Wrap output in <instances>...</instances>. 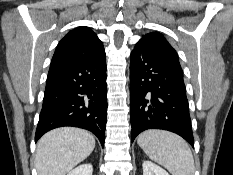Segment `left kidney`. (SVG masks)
<instances>
[{
  "instance_id": "1",
  "label": "left kidney",
  "mask_w": 233,
  "mask_h": 175,
  "mask_svg": "<svg viewBox=\"0 0 233 175\" xmlns=\"http://www.w3.org/2000/svg\"><path fill=\"white\" fill-rule=\"evenodd\" d=\"M143 175H169V173L151 161H144Z\"/></svg>"
}]
</instances>
